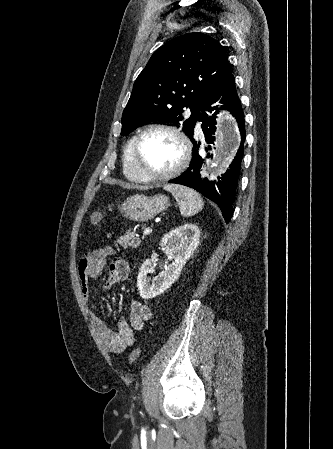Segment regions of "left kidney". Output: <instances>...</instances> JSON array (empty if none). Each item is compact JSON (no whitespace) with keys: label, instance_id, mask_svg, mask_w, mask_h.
<instances>
[{"label":"left kidney","instance_id":"1","mask_svg":"<svg viewBox=\"0 0 333 449\" xmlns=\"http://www.w3.org/2000/svg\"><path fill=\"white\" fill-rule=\"evenodd\" d=\"M200 230L195 224H184L166 234L161 240L164 252L174 261L153 280L149 274L154 271L155 262L147 259L143 262L137 277V287L144 299L154 298L166 291L179 278L186 261L198 247Z\"/></svg>","mask_w":333,"mask_h":449}]
</instances>
